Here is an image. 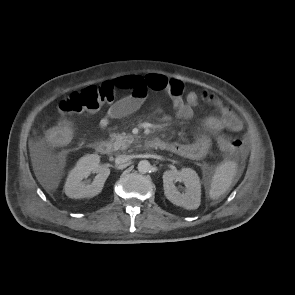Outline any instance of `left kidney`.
<instances>
[{
    "mask_svg": "<svg viewBox=\"0 0 295 295\" xmlns=\"http://www.w3.org/2000/svg\"><path fill=\"white\" fill-rule=\"evenodd\" d=\"M163 187L166 198L174 205L187 210L197 209L201 202V184L197 173L191 168L180 171L167 170L163 173ZM176 181H182L186 190L180 193L175 186Z\"/></svg>",
    "mask_w": 295,
    "mask_h": 295,
    "instance_id": "left-kidney-1",
    "label": "left kidney"
}]
</instances>
